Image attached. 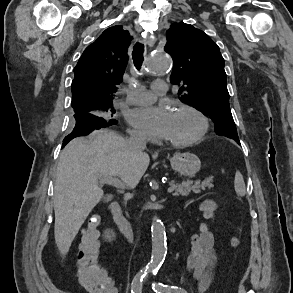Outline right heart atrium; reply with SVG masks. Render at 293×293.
I'll return each mask as SVG.
<instances>
[{
    "label": "right heart atrium",
    "mask_w": 293,
    "mask_h": 293,
    "mask_svg": "<svg viewBox=\"0 0 293 293\" xmlns=\"http://www.w3.org/2000/svg\"><path fill=\"white\" fill-rule=\"evenodd\" d=\"M129 133L133 136V137H136V138H145V134L136 130V129H129Z\"/></svg>",
    "instance_id": "right-heart-atrium-1"
}]
</instances>
